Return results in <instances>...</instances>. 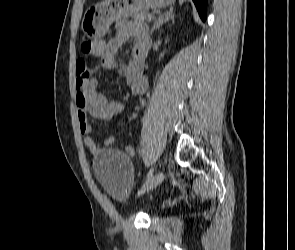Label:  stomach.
<instances>
[{
	"label": "stomach",
	"mask_w": 295,
	"mask_h": 250,
	"mask_svg": "<svg viewBox=\"0 0 295 250\" xmlns=\"http://www.w3.org/2000/svg\"><path fill=\"white\" fill-rule=\"evenodd\" d=\"M175 0H104L90 6L83 17L81 28L89 38L103 37L110 25L146 9H160Z\"/></svg>",
	"instance_id": "1"
}]
</instances>
